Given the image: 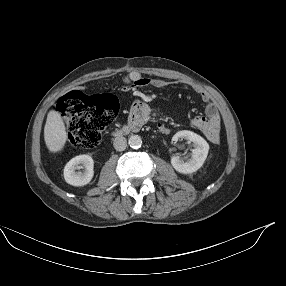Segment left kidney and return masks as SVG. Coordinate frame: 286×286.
Wrapping results in <instances>:
<instances>
[{
	"mask_svg": "<svg viewBox=\"0 0 286 286\" xmlns=\"http://www.w3.org/2000/svg\"><path fill=\"white\" fill-rule=\"evenodd\" d=\"M179 139L192 142L194 149H192L191 156L185 160L180 159L179 156H172V166L179 173L190 174L196 172L206 160L209 151L208 143L200 135L188 130L179 131L172 138L175 142Z\"/></svg>",
	"mask_w": 286,
	"mask_h": 286,
	"instance_id": "5707ae66",
	"label": "left kidney"
}]
</instances>
